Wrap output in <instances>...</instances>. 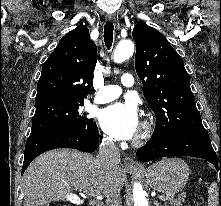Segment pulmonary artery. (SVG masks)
Segmentation results:
<instances>
[{
	"instance_id": "e3ab8cb5",
	"label": "pulmonary artery",
	"mask_w": 221,
	"mask_h": 206,
	"mask_svg": "<svg viewBox=\"0 0 221 206\" xmlns=\"http://www.w3.org/2000/svg\"><path fill=\"white\" fill-rule=\"evenodd\" d=\"M121 84L125 87H132L135 84V79L131 74H123L121 77ZM122 90L119 86L116 85H104L99 89L98 94L96 95L94 101L96 103H108L116 98H118L121 94Z\"/></svg>"
}]
</instances>
